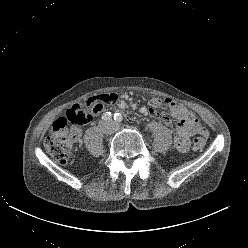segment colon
Segmentation results:
<instances>
[{
	"label": "colon",
	"mask_w": 248,
	"mask_h": 248,
	"mask_svg": "<svg viewBox=\"0 0 248 248\" xmlns=\"http://www.w3.org/2000/svg\"><path fill=\"white\" fill-rule=\"evenodd\" d=\"M114 97L104 94L89 97L81 103L71 106L64 117L58 118L52 125L49 135L45 139V147L50 155L59 163L69 161L74 143L79 135V128L89 124L102 104H113ZM207 131L198 126L193 139V150L202 151L206 144Z\"/></svg>",
	"instance_id": "5ec220e1"
}]
</instances>
